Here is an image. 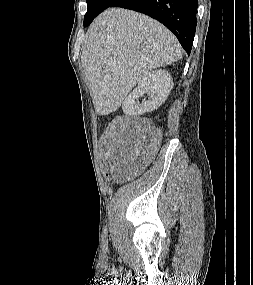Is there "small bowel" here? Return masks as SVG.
Instances as JSON below:
<instances>
[{"label": "small bowel", "mask_w": 253, "mask_h": 285, "mask_svg": "<svg viewBox=\"0 0 253 285\" xmlns=\"http://www.w3.org/2000/svg\"><path fill=\"white\" fill-rule=\"evenodd\" d=\"M116 151L123 154V155H131L133 152V144L129 142H124L118 146H116ZM111 159H113L111 157Z\"/></svg>", "instance_id": "obj_1"}]
</instances>
